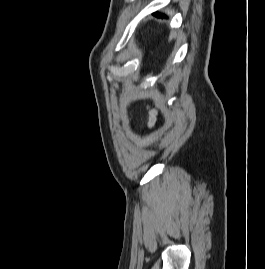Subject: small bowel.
I'll return each instance as SVG.
<instances>
[{
    "label": "small bowel",
    "mask_w": 265,
    "mask_h": 269,
    "mask_svg": "<svg viewBox=\"0 0 265 269\" xmlns=\"http://www.w3.org/2000/svg\"><path fill=\"white\" fill-rule=\"evenodd\" d=\"M156 120V113L154 111L150 112L149 126H152Z\"/></svg>",
    "instance_id": "obj_1"
}]
</instances>
